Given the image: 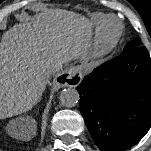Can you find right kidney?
Instances as JSON below:
<instances>
[{"label": "right kidney", "instance_id": "obj_1", "mask_svg": "<svg viewBox=\"0 0 151 151\" xmlns=\"http://www.w3.org/2000/svg\"><path fill=\"white\" fill-rule=\"evenodd\" d=\"M10 128H11V130H12V132H16L17 131V129L15 128V126H13V125H10ZM28 135V134H27ZM27 135L25 136V138L27 137Z\"/></svg>", "mask_w": 151, "mask_h": 151}]
</instances>
